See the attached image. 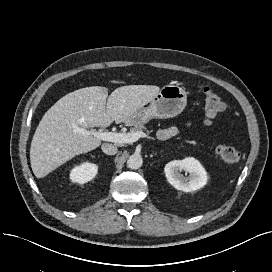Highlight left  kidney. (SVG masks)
<instances>
[{"instance_id":"5707ae66","label":"left kidney","mask_w":272,"mask_h":272,"mask_svg":"<svg viewBox=\"0 0 272 272\" xmlns=\"http://www.w3.org/2000/svg\"><path fill=\"white\" fill-rule=\"evenodd\" d=\"M181 171L188 172L189 177H184ZM164 172L167 181L177 190L184 192L199 190L208 180L204 167L193 157L170 161L165 165Z\"/></svg>"}]
</instances>
